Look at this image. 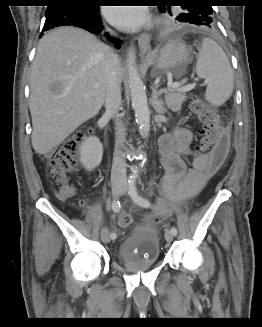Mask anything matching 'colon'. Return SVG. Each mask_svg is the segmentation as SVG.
I'll use <instances>...</instances> for the list:
<instances>
[{"label": "colon", "instance_id": "colon-1", "mask_svg": "<svg viewBox=\"0 0 262 327\" xmlns=\"http://www.w3.org/2000/svg\"><path fill=\"white\" fill-rule=\"evenodd\" d=\"M191 109L200 123L197 153L207 155L211 172L218 171L229 154L227 132L221 127L215 111L200 99H192ZM86 135V131L77 132L57 150L50 160V180L58 188V195L63 200L71 199L76 194L75 188L69 183V178L78 169L80 146ZM175 210L176 208H173L157 214L154 221L158 222L167 218ZM131 221V217L124 212L118 217L120 227L129 226Z\"/></svg>", "mask_w": 262, "mask_h": 327}]
</instances>
